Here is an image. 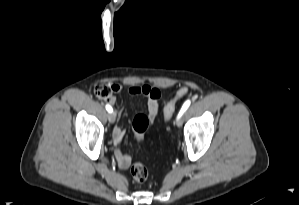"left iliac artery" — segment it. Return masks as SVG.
I'll list each match as a JSON object with an SVG mask.
<instances>
[{
	"label": "left iliac artery",
	"instance_id": "obj_1",
	"mask_svg": "<svg viewBox=\"0 0 299 205\" xmlns=\"http://www.w3.org/2000/svg\"><path fill=\"white\" fill-rule=\"evenodd\" d=\"M190 104H191L190 100L185 101V103L183 104V106H182V108H181V110H180L177 118H180L183 115V113L188 109V107L190 106Z\"/></svg>",
	"mask_w": 299,
	"mask_h": 205
}]
</instances>
